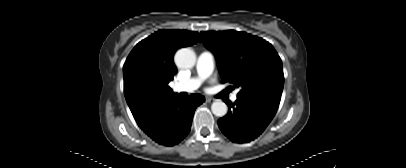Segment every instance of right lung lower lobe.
I'll list each match as a JSON object with an SVG mask.
<instances>
[{
  "label": "right lung lower lobe",
  "mask_w": 406,
  "mask_h": 168,
  "mask_svg": "<svg viewBox=\"0 0 406 168\" xmlns=\"http://www.w3.org/2000/svg\"><path fill=\"white\" fill-rule=\"evenodd\" d=\"M204 101L200 94H192L185 99L174 94L136 122L157 143L173 146L189 134L195 109Z\"/></svg>",
  "instance_id": "right-lung-lower-lobe-1"
}]
</instances>
